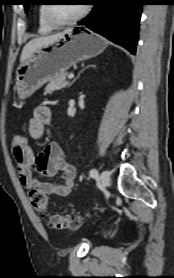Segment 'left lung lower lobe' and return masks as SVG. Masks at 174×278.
I'll return each mask as SVG.
<instances>
[{
	"label": "left lung lower lobe",
	"mask_w": 174,
	"mask_h": 278,
	"mask_svg": "<svg viewBox=\"0 0 174 278\" xmlns=\"http://www.w3.org/2000/svg\"><path fill=\"white\" fill-rule=\"evenodd\" d=\"M143 0H92L91 13L78 22L135 53Z\"/></svg>",
	"instance_id": "0a47b994"
}]
</instances>
